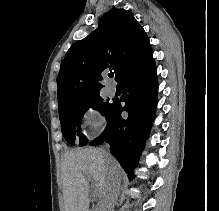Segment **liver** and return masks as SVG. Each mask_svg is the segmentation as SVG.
Here are the masks:
<instances>
[{
    "label": "liver",
    "mask_w": 219,
    "mask_h": 211,
    "mask_svg": "<svg viewBox=\"0 0 219 211\" xmlns=\"http://www.w3.org/2000/svg\"><path fill=\"white\" fill-rule=\"evenodd\" d=\"M103 149H77L67 151L62 161L63 197L65 211H105V205H113L117 189V181L112 183V177L121 173V167L110 157L109 167L104 159ZM85 175H92L96 185L95 195L99 201L95 209H89V193L92 189ZM119 187V185H118Z\"/></svg>",
    "instance_id": "obj_1"
}]
</instances>
